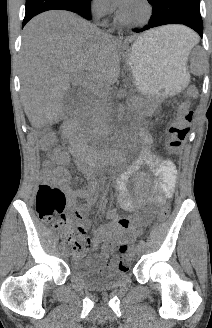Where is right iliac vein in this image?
I'll use <instances>...</instances> for the list:
<instances>
[{
	"label": "right iliac vein",
	"instance_id": "right-iliac-vein-1",
	"mask_svg": "<svg viewBox=\"0 0 212 328\" xmlns=\"http://www.w3.org/2000/svg\"><path fill=\"white\" fill-rule=\"evenodd\" d=\"M62 254H63V256H64L66 259H68L69 255H70V253H69V251H68L67 249H64L63 252H62Z\"/></svg>",
	"mask_w": 212,
	"mask_h": 328
}]
</instances>
